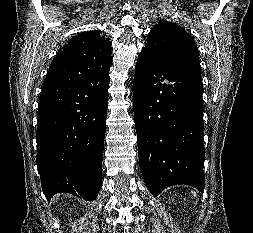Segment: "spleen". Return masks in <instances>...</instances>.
Listing matches in <instances>:
<instances>
[{"mask_svg": "<svg viewBox=\"0 0 253 233\" xmlns=\"http://www.w3.org/2000/svg\"><path fill=\"white\" fill-rule=\"evenodd\" d=\"M194 196H196V193L195 192H192Z\"/></svg>", "mask_w": 253, "mask_h": 233, "instance_id": "1", "label": "spleen"}]
</instances>
